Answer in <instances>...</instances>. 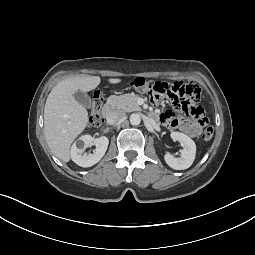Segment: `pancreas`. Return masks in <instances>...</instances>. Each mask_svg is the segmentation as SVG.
Masks as SVG:
<instances>
[{
  "label": "pancreas",
  "mask_w": 255,
  "mask_h": 255,
  "mask_svg": "<svg viewBox=\"0 0 255 255\" xmlns=\"http://www.w3.org/2000/svg\"><path fill=\"white\" fill-rule=\"evenodd\" d=\"M138 95L124 94L120 96L112 95L107 102L114 109H119L125 112L140 111L141 108L137 104Z\"/></svg>",
  "instance_id": "obj_1"
}]
</instances>
